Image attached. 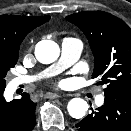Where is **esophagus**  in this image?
Instances as JSON below:
<instances>
[{"label": "esophagus", "mask_w": 131, "mask_h": 131, "mask_svg": "<svg viewBox=\"0 0 131 131\" xmlns=\"http://www.w3.org/2000/svg\"><path fill=\"white\" fill-rule=\"evenodd\" d=\"M59 97H62V95L56 94V93H47L46 94V98H50V99H55V98H59Z\"/></svg>", "instance_id": "34e87169"}]
</instances>
